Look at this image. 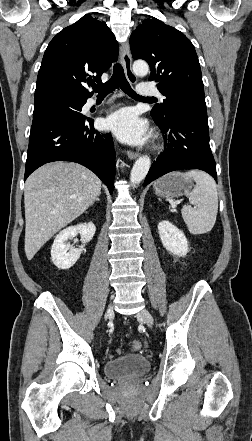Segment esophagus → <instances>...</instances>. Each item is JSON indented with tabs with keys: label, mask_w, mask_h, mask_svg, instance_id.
<instances>
[{
	"label": "esophagus",
	"mask_w": 252,
	"mask_h": 441,
	"mask_svg": "<svg viewBox=\"0 0 252 441\" xmlns=\"http://www.w3.org/2000/svg\"><path fill=\"white\" fill-rule=\"evenodd\" d=\"M121 60L127 79L130 81V83L135 84L137 82V77L132 71V58L128 42L121 45ZM127 156L129 159L133 160L139 156V153L129 150L127 151Z\"/></svg>",
	"instance_id": "34e87169"
}]
</instances>
